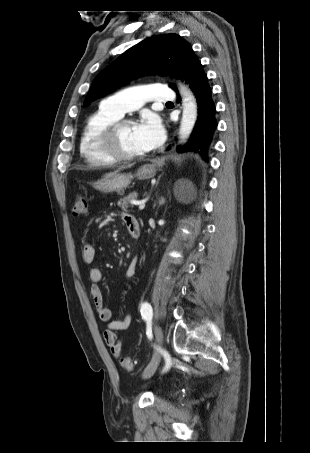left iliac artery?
<instances>
[{
  "label": "left iliac artery",
  "instance_id": "left-iliac-artery-1",
  "mask_svg": "<svg viewBox=\"0 0 310 453\" xmlns=\"http://www.w3.org/2000/svg\"><path fill=\"white\" fill-rule=\"evenodd\" d=\"M140 312H141L142 318L145 321L151 322L152 316H153V311H152V307L149 303H147V302L142 303ZM163 354H164V357L166 360L165 370H167L170 367V359H169V355L166 352H164Z\"/></svg>",
  "mask_w": 310,
  "mask_h": 453
}]
</instances>
